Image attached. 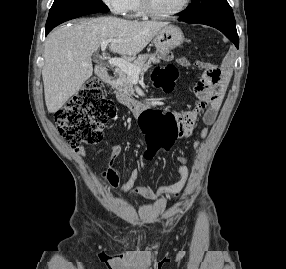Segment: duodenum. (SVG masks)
Wrapping results in <instances>:
<instances>
[{
  "label": "duodenum",
  "mask_w": 286,
  "mask_h": 269,
  "mask_svg": "<svg viewBox=\"0 0 286 269\" xmlns=\"http://www.w3.org/2000/svg\"><path fill=\"white\" fill-rule=\"evenodd\" d=\"M97 73L106 84L111 83V76L103 65L97 66ZM130 106L137 113L143 109V106L135 101H131Z\"/></svg>",
  "instance_id": "duodenum-1"
}]
</instances>
